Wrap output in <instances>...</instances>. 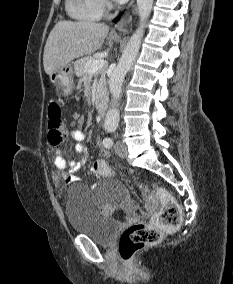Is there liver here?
I'll return each instance as SVG.
<instances>
[{
  "label": "liver",
  "mask_w": 233,
  "mask_h": 284,
  "mask_svg": "<svg viewBox=\"0 0 233 284\" xmlns=\"http://www.w3.org/2000/svg\"><path fill=\"white\" fill-rule=\"evenodd\" d=\"M108 33L109 27L102 23L59 21L50 32L44 49L46 74L50 76L74 59L95 52ZM111 39H115L113 34Z\"/></svg>",
  "instance_id": "6515ba94"
}]
</instances>
